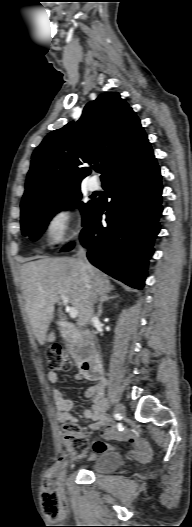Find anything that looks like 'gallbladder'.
Wrapping results in <instances>:
<instances>
[{
	"label": "gallbladder",
	"instance_id": "1",
	"mask_svg": "<svg viewBox=\"0 0 192 527\" xmlns=\"http://www.w3.org/2000/svg\"><path fill=\"white\" fill-rule=\"evenodd\" d=\"M48 342H53L55 341V334L52 332L49 334L48 338H47Z\"/></svg>",
	"mask_w": 192,
	"mask_h": 527
}]
</instances>
